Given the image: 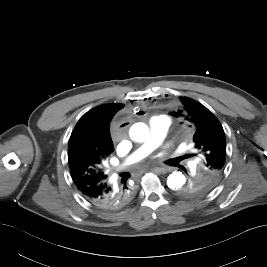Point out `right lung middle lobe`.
Here are the masks:
<instances>
[{"mask_svg":"<svg viewBox=\"0 0 267 267\" xmlns=\"http://www.w3.org/2000/svg\"><path fill=\"white\" fill-rule=\"evenodd\" d=\"M102 164L103 162L96 160L92 155L84 157L70 170L75 184H87L106 175Z\"/></svg>","mask_w":267,"mask_h":267,"instance_id":"obj_1","label":"right lung middle lobe"}]
</instances>
